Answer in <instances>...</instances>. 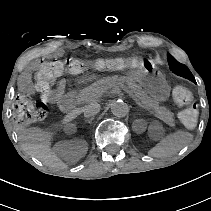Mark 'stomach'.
Wrapping results in <instances>:
<instances>
[{
  "mask_svg": "<svg viewBox=\"0 0 211 211\" xmlns=\"http://www.w3.org/2000/svg\"><path fill=\"white\" fill-rule=\"evenodd\" d=\"M129 77L144 87L155 101H166L170 94V88L161 74L151 73L142 69L129 72Z\"/></svg>",
  "mask_w": 211,
  "mask_h": 211,
  "instance_id": "1",
  "label": "stomach"
}]
</instances>
